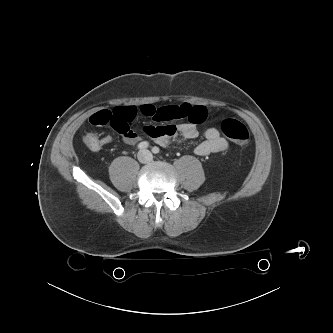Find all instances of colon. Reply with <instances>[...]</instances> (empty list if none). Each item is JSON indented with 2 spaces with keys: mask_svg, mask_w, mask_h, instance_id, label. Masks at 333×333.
I'll list each match as a JSON object with an SVG mask.
<instances>
[{
  "mask_svg": "<svg viewBox=\"0 0 333 333\" xmlns=\"http://www.w3.org/2000/svg\"><path fill=\"white\" fill-rule=\"evenodd\" d=\"M136 114L137 110L134 107H129L120 116L122 119L120 121L117 115L110 110H102L96 114L95 119L98 126L111 125L115 126L118 130H125L132 123ZM220 128L228 139L240 146H246L250 141V133L247 127L236 119H224L220 124ZM83 142L90 150L97 151L103 146L105 140L95 132H87L83 136Z\"/></svg>",
  "mask_w": 333,
  "mask_h": 333,
  "instance_id": "5ec220e1",
  "label": "colon"
}]
</instances>
